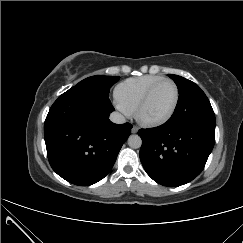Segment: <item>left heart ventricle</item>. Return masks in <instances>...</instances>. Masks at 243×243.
I'll use <instances>...</instances> for the list:
<instances>
[{"label":"left heart ventricle","instance_id":"1","mask_svg":"<svg viewBox=\"0 0 243 243\" xmlns=\"http://www.w3.org/2000/svg\"><path fill=\"white\" fill-rule=\"evenodd\" d=\"M175 100V89L172 84L160 85L152 94L150 100L142 111L146 120H157L165 117L171 110Z\"/></svg>","mask_w":243,"mask_h":243}]
</instances>
